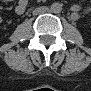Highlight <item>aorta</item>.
I'll return each instance as SVG.
<instances>
[{"label":"aorta","mask_w":91,"mask_h":91,"mask_svg":"<svg viewBox=\"0 0 91 91\" xmlns=\"http://www.w3.org/2000/svg\"><path fill=\"white\" fill-rule=\"evenodd\" d=\"M51 11L53 13H60L62 11V4L55 2L51 5Z\"/></svg>","instance_id":"762f6f07"}]
</instances>
